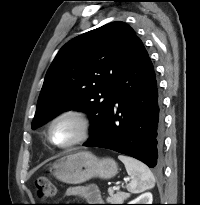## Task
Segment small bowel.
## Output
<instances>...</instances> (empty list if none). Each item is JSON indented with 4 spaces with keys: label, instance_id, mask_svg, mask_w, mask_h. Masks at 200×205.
I'll use <instances>...</instances> for the list:
<instances>
[{
    "label": "small bowel",
    "instance_id": "small-bowel-1",
    "mask_svg": "<svg viewBox=\"0 0 200 205\" xmlns=\"http://www.w3.org/2000/svg\"><path fill=\"white\" fill-rule=\"evenodd\" d=\"M68 196H79L88 202H99L101 200L99 191L92 186L88 187H71L66 191Z\"/></svg>",
    "mask_w": 200,
    "mask_h": 205
}]
</instances>
